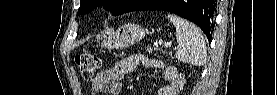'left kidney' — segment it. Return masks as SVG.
<instances>
[{"instance_id":"left-kidney-1","label":"left kidney","mask_w":277,"mask_h":95,"mask_svg":"<svg viewBox=\"0 0 277 95\" xmlns=\"http://www.w3.org/2000/svg\"><path fill=\"white\" fill-rule=\"evenodd\" d=\"M178 84H182V80L180 78H178V75H176L172 80L169 92L173 93L176 90V85H178Z\"/></svg>"}]
</instances>
